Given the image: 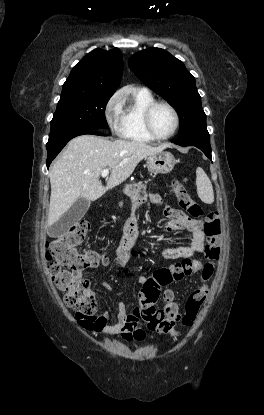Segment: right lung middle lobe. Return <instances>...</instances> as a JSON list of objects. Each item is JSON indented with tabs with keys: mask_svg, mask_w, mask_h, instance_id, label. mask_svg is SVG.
I'll return each instance as SVG.
<instances>
[{
	"mask_svg": "<svg viewBox=\"0 0 264 415\" xmlns=\"http://www.w3.org/2000/svg\"><path fill=\"white\" fill-rule=\"evenodd\" d=\"M111 95L61 96L51 121L47 147L85 130L107 129L105 108Z\"/></svg>",
	"mask_w": 264,
	"mask_h": 415,
	"instance_id": "1",
	"label": "right lung middle lobe"
}]
</instances>
